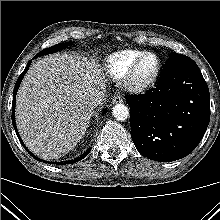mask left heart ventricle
Masks as SVG:
<instances>
[{
  "mask_svg": "<svg viewBox=\"0 0 220 220\" xmlns=\"http://www.w3.org/2000/svg\"><path fill=\"white\" fill-rule=\"evenodd\" d=\"M154 67H155V59L153 57L145 58L139 67L138 76L140 78L147 77L149 74H151Z\"/></svg>",
  "mask_w": 220,
  "mask_h": 220,
  "instance_id": "obj_1",
  "label": "left heart ventricle"
}]
</instances>
